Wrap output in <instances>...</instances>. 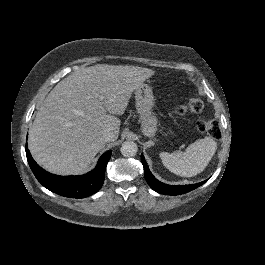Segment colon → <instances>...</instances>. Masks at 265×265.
<instances>
[{
    "instance_id": "1",
    "label": "colon",
    "mask_w": 265,
    "mask_h": 265,
    "mask_svg": "<svg viewBox=\"0 0 265 265\" xmlns=\"http://www.w3.org/2000/svg\"><path fill=\"white\" fill-rule=\"evenodd\" d=\"M203 109V101L198 96H193L188 104H177L174 112L177 115H184L187 113H198ZM198 130L209 135L214 139L221 137V129L217 122L213 120H204L198 123Z\"/></svg>"
}]
</instances>
